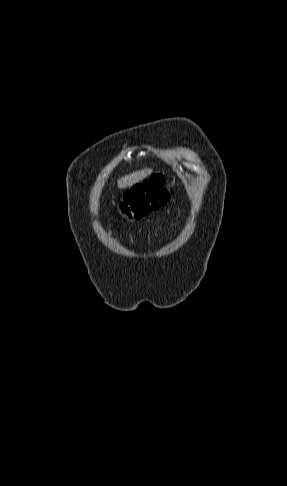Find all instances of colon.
<instances>
[{"instance_id":"5ec220e1","label":"colon","mask_w":287,"mask_h":486,"mask_svg":"<svg viewBox=\"0 0 287 486\" xmlns=\"http://www.w3.org/2000/svg\"><path fill=\"white\" fill-rule=\"evenodd\" d=\"M172 194L173 189L167 184L166 177L153 175L124 193L119 211L129 219H142L165 205Z\"/></svg>"}]
</instances>
